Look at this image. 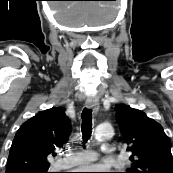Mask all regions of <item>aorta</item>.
Masks as SVG:
<instances>
[{"label":"aorta","mask_w":173,"mask_h":173,"mask_svg":"<svg viewBox=\"0 0 173 173\" xmlns=\"http://www.w3.org/2000/svg\"><path fill=\"white\" fill-rule=\"evenodd\" d=\"M114 134V130L111 124L103 123L96 127L95 137L97 139L110 138Z\"/></svg>","instance_id":"obj_1"}]
</instances>
